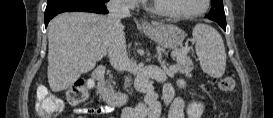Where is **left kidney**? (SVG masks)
<instances>
[{
    "label": "left kidney",
    "instance_id": "obj_1",
    "mask_svg": "<svg viewBox=\"0 0 273 118\" xmlns=\"http://www.w3.org/2000/svg\"><path fill=\"white\" fill-rule=\"evenodd\" d=\"M203 104L192 102L187 107V115L188 118H201V115L203 114Z\"/></svg>",
    "mask_w": 273,
    "mask_h": 118
}]
</instances>
